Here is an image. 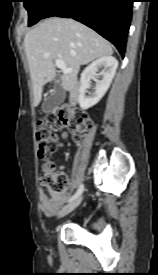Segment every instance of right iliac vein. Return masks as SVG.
Instances as JSON below:
<instances>
[{
    "label": "right iliac vein",
    "instance_id": "63e3f726",
    "mask_svg": "<svg viewBox=\"0 0 158 275\" xmlns=\"http://www.w3.org/2000/svg\"><path fill=\"white\" fill-rule=\"evenodd\" d=\"M82 201V197H78L75 200H73L72 202H70L69 204L65 205L61 211L59 212V217H63L65 215H67L68 213H70L71 211H73L76 207L79 206V204Z\"/></svg>",
    "mask_w": 158,
    "mask_h": 275
}]
</instances>
